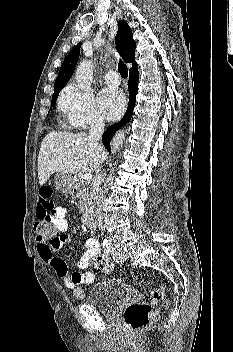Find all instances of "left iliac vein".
<instances>
[{
    "instance_id": "obj_1",
    "label": "left iliac vein",
    "mask_w": 233,
    "mask_h": 352,
    "mask_svg": "<svg viewBox=\"0 0 233 352\" xmlns=\"http://www.w3.org/2000/svg\"><path fill=\"white\" fill-rule=\"evenodd\" d=\"M119 254L123 261L128 259V254L123 249H119Z\"/></svg>"
}]
</instances>
